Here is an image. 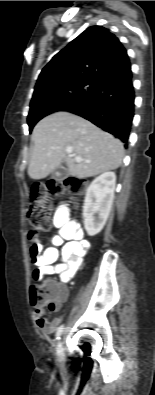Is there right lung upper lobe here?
<instances>
[{
    "label": "right lung upper lobe",
    "instance_id": "cb5924a9",
    "mask_svg": "<svg viewBox=\"0 0 155 395\" xmlns=\"http://www.w3.org/2000/svg\"><path fill=\"white\" fill-rule=\"evenodd\" d=\"M131 67L120 40L102 26H92L57 53L41 71L34 93L73 80L100 81Z\"/></svg>",
    "mask_w": 155,
    "mask_h": 395
}]
</instances>
